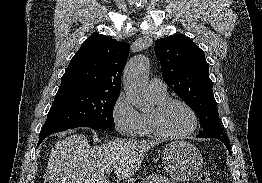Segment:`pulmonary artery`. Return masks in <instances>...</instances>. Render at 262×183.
Wrapping results in <instances>:
<instances>
[{
    "instance_id": "pulmonary-artery-1",
    "label": "pulmonary artery",
    "mask_w": 262,
    "mask_h": 183,
    "mask_svg": "<svg viewBox=\"0 0 262 183\" xmlns=\"http://www.w3.org/2000/svg\"><path fill=\"white\" fill-rule=\"evenodd\" d=\"M149 89L152 95H165L167 93V86L165 82L159 78H152L149 82Z\"/></svg>"
}]
</instances>
